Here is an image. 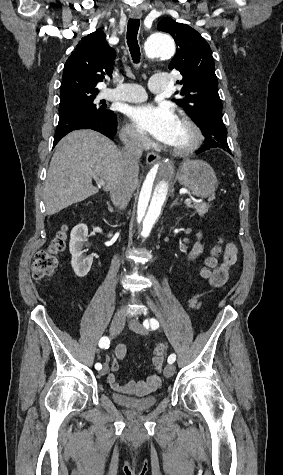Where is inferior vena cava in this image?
Listing matches in <instances>:
<instances>
[{"mask_svg":"<svg viewBox=\"0 0 283 475\" xmlns=\"http://www.w3.org/2000/svg\"><path fill=\"white\" fill-rule=\"evenodd\" d=\"M147 142L145 132H129L127 140L124 142L122 150L123 166L118 178H116L110 196L116 208L123 210L126 208L134 190V178L138 176V162Z\"/></svg>","mask_w":283,"mask_h":475,"instance_id":"1","label":"inferior vena cava"}]
</instances>
